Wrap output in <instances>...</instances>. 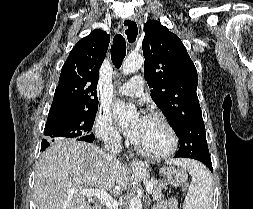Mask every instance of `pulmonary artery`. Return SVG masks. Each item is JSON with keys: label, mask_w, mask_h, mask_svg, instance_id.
Here are the masks:
<instances>
[{"label": "pulmonary artery", "mask_w": 253, "mask_h": 209, "mask_svg": "<svg viewBox=\"0 0 253 209\" xmlns=\"http://www.w3.org/2000/svg\"><path fill=\"white\" fill-rule=\"evenodd\" d=\"M144 80L142 76L135 75L128 82L119 87L118 93L129 97H138L143 93Z\"/></svg>", "instance_id": "1"}]
</instances>
